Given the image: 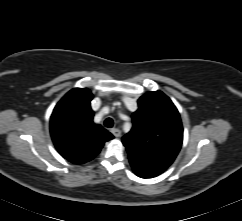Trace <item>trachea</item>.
<instances>
[{
  "label": "trachea",
  "mask_w": 242,
  "mask_h": 221,
  "mask_svg": "<svg viewBox=\"0 0 242 221\" xmlns=\"http://www.w3.org/2000/svg\"><path fill=\"white\" fill-rule=\"evenodd\" d=\"M104 125L108 128H112L113 125H114V121L112 118H107L105 121H104Z\"/></svg>",
  "instance_id": "obj_1"
}]
</instances>
